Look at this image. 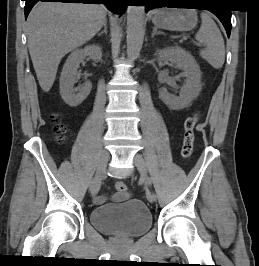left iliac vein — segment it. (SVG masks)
<instances>
[{"label":"left iliac vein","mask_w":259,"mask_h":266,"mask_svg":"<svg viewBox=\"0 0 259 266\" xmlns=\"http://www.w3.org/2000/svg\"><path fill=\"white\" fill-rule=\"evenodd\" d=\"M133 162L135 166L137 167L142 179L147 184V167L144 158L140 154H135L133 157ZM147 199L149 202L153 203L156 201V199L152 198V193L150 192L147 194Z\"/></svg>","instance_id":"left-iliac-vein-1"}]
</instances>
